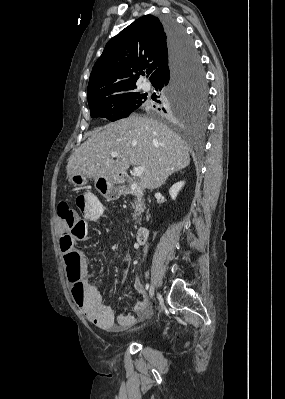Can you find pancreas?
<instances>
[{
	"label": "pancreas",
	"instance_id": "1",
	"mask_svg": "<svg viewBox=\"0 0 285 399\" xmlns=\"http://www.w3.org/2000/svg\"><path fill=\"white\" fill-rule=\"evenodd\" d=\"M132 206L134 209V219L137 220L144 207V201L141 198L137 197L133 200Z\"/></svg>",
	"mask_w": 285,
	"mask_h": 399
}]
</instances>
